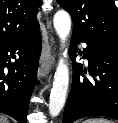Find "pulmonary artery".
Wrapping results in <instances>:
<instances>
[{
	"label": "pulmonary artery",
	"mask_w": 118,
	"mask_h": 123,
	"mask_svg": "<svg viewBox=\"0 0 118 123\" xmlns=\"http://www.w3.org/2000/svg\"><path fill=\"white\" fill-rule=\"evenodd\" d=\"M81 45H82V47H85V43H82Z\"/></svg>",
	"instance_id": "obj_1"
}]
</instances>
